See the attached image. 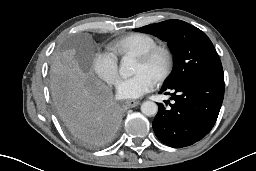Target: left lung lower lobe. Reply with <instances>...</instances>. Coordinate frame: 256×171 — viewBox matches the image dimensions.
I'll return each instance as SVG.
<instances>
[{
  "label": "left lung lower lobe",
  "mask_w": 256,
  "mask_h": 171,
  "mask_svg": "<svg viewBox=\"0 0 256 171\" xmlns=\"http://www.w3.org/2000/svg\"><path fill=\"white\" fill-rule=\"evenodd\" d=\"M160 93L171 94L173 103L158 104L153 130L164 144L181 148L201 140L214 126L223 102L224 79L191 77L162 87Z\"/></svg>",
  "instance_id": "0a47b994"
}]
</instances>
